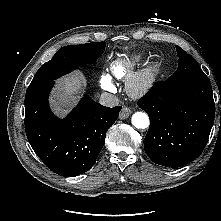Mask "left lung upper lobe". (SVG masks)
Listing matches in <instances>:
<instances>
[{"label": "left lung upper lobe", "mask_w": 221, "mask_h": 221, "mask_svg": "<svg viewBox=\"0 0 221 221\" xmlns=\"http://www.w3.org/2000/svg\"><path fill=\"white\" fill-rule=\"evenodd\" d=\"M177 54L179 57V64L177 71L168 78V80L173 81H202L209 82L208 77L204 74L198 63L194 58L181 49L179 46H176Z\"/></svg>", "instance_id": "obj_1"}]
</instances>
